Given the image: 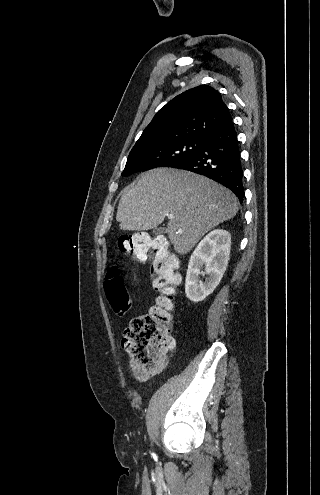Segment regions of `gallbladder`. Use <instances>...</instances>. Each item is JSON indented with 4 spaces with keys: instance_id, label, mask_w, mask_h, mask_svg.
Here are the masks:
<instances>
[{
    "instance_id": "obj_1",
    "label": "gallbladder",
    "mask_w": 320,
    "mask_h": 495,
    "mask_svg": "<svg viewBox=\"0 0 320 495\" xmlns=\"http://www.w3.org/2000/svg\"><path fill=\"white\" fill-rule=\"evenodd\" d=\"M154 233L155 234H163V233H165V229L164 228H161V227L155 228L154 229Z\"/></svg>"
}]
</instances>
